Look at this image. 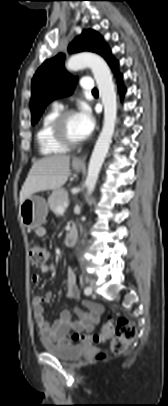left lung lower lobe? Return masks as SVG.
Segmentation results:
<instances>
[{"instance_id":"1","label":"left lung lower lobe","mask_w":168,"mask_h":406,"mask_svg":"<svg viewBox=\"0 0 168 406\" xmlns=\"http://www.w3.org/2000/svg\"><path fill=\"white\" fill-rule=\"evenodd\" d=\"M108 63H109V65L111 66V68L113 69V71H117V68H118V62L114 59V58H111L109 61H108ZM117 78H118V84H119V91H120V93H121V96H123V94L125 93V89H124V87L122 86V75L121 74H117Z\"/></svg>"}]
</instances>
